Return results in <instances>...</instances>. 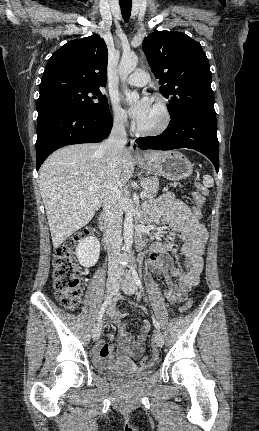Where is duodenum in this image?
Segmentation results:
<instances>
[{"label":"duodenum","instance_id":"410a0bca","mask_svg":"<svg viewBox=\"0 0 259 431\" xmlns=\"http://www.w3.org/2000/svg\"><path fill=\"white\" fill-rule=\"evenodd\" d=\"M108 223H109L108 216L107 214L104 213L100 219V228L103 230H106ZM146 231H147V228L145 224L140 223L137 226V249L138 250H141L145 245Z\"/></svg>","mask_w":259,"mask_h":431}]
</instances>
